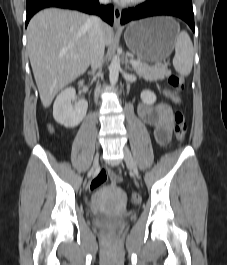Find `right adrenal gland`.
Wrapping results in <instances>:
<instances>
[{
    "label": "right adrenal gland",
    "instance_id": "right-adrenal-gland-1",
    "mask_svg": "<svg viewBox=\"0 0 227 265\" xmlns=\"http://www.w3.org/2000/svg\"><path fill=\"white\" fill-rule=\"evenodd\" d=\"M89 74L93 73V71L88 72Z\"/></svg>",
    "mask_w": 227,
    "mask_h": 265
}]
</instances>
